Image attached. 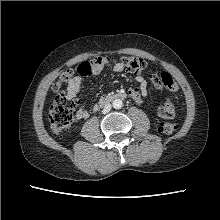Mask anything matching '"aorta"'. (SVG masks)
Returning a JSON list of instances; mask_svg holds the SVG:
<instances>
[{
    "instance_id": "762f6f07",
    "label": "aorta",
    "mask_w": 220,
    "mask_h": 220,
    "mask_svg": "<svg viewBox=\"0 0 220 220\" xmlns=\"http://www.w3.org/2000/svg\"><path fill=\"white\" fill-rule=\"evenodd\" d=\"M112 105H113V108H114V109H120V108H122V106H123V102H122V100H120V99H115V100L112 102Z\"/></svg>"
}]
</instances>
